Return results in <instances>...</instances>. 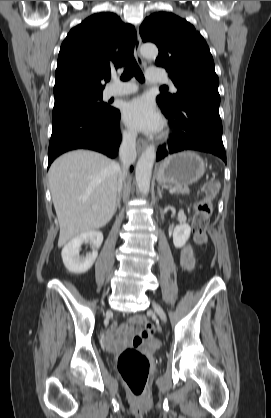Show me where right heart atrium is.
Here are the masks:
<instances>
[{"label": "right heart atrium", "mask_w": 271, "mask_h": 418, "mask_svg": "<svg viewBox=\"0 0 271 418\" xmlns=\"http://www.w3.org/2000/svg\"><path fill=\"white\" fill-rule=\"evenodd\" d=\"M123 140H124V143L126 145L131 146L133 144V142H134V137H133V135L130 132L125 131L123 133Z\"/></svg>", "instance_id": "1"}]
</instances>
